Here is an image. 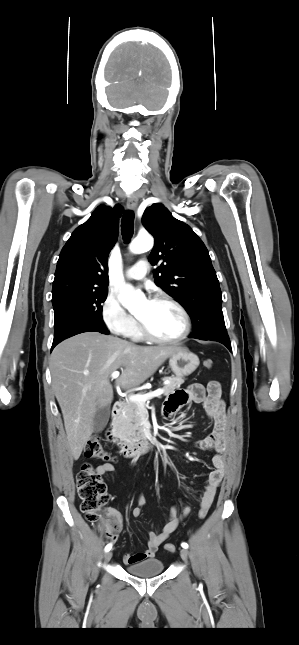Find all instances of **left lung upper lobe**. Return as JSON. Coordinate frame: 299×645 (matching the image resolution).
I'll return each mask as SVG.
<instances>
[{
    "mask_svg": "<svg viewBox=\"0 0 299 645\" xmlns=\"http://www.w3.org/2000/svg\"><path fill=\"white\" fill-rule=\"evenodd\" d=\"M143 225L155 238L149 261L156 284L174 296L190 315L191 334L200 338L225 328L222 293L207 248L193 230L161 203L146 208Z\"/></svg>",
    "mask_w": 299,
    "mask_h": 645,
    "instance_id": "obj_1",
    "label": "left lung upper lobe"
}]
</instances>
